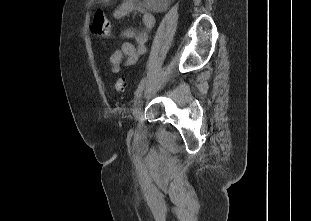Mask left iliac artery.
<instances>
[{"label":"left iliac artery","instance_id":"44dca946","mask_svg":"<svg viewBox=\"0 0 311 221\" xmlns=\"http://www.w3.org/2000/svg\"><path fill=\"white\" fill-rule=\"evenodd\" d=\"M144 86H145V78H143L140 84L138 85V88L135 91V97H138L142 93Z\"/></svg>","mask_w":311,"mask_h":221}]
</instances>
